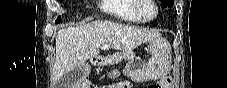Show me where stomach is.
<instances>
[{
  "instance_id": "stomach-1",
  "label": "stomach",
  "mask_w": 227,
  "mask_h": 88,
  "mask_svg": "<svg viewBox=\"0 0 227 88\" xmlns=\"http://www.w3.org/2000/svg\"><path fill=\"white\" fill-rule=\"evenodd\" d=\"M149 52L151 58L140 67H134L129 64L125 72L136 82L148 80H156L164 77L170 70L171 66V46L165 39L156 37L149 41ZM109 63L113 64L114 61ZM118 71L113 72V76L117 77Z\"/></svg>"
}]
</instances>
